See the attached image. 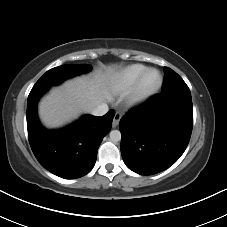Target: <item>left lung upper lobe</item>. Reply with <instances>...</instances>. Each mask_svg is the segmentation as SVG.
I'll use <instances>...</instances> for the list:
<instances>
[{
  "label": "left lung upper lobe",
  "instance_id": "1",
  "mask_svg": "<svg viewBox=\"0 0 227 227\" xmlns=\"http://www.w3.org/2000/svg\"><path fill=\"white\" fill-rule=\"evenodd\" d=\"M165 79L162 94H191L183 79L172 69L164 67Z\"/></svg>",
  "mask_w": 227,
  "mask_h": 227
}]
</instances>
